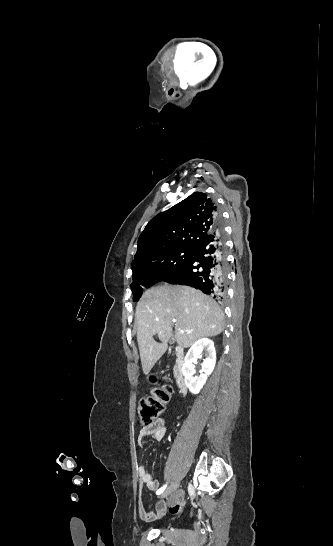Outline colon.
<instances>
[{
    "mask_svg": "<svg viewBox=\"0 0 333 546\" xmlns=\"http://www.w3.org/2000/svg\"><path fill=\"white\" fill-rule=\"evenodd\" d=\"M154 379V378H152ZM172 394L168 383L154 387L150 394L141 399L138 405V416L143 427L149 426L165 411Z\"/></svg>",
    "mask_w": 333,
    "mask_h": 546,
    "instance_id": "colon-1",
    "label": "colon"
}]
</instances>
